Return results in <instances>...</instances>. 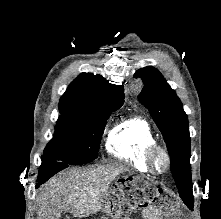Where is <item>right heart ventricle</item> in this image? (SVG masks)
Returning <instances> with one entry per match:
<instances>
[{
	"instance_id": "obj_1",
	"label": "right heart ventricle",
	"mask_w": 221,
	"mask_h": 219,
	"mask_svg": "<svg viewBox=\"0 0 221 219\" xmlns=\"http://www.w3.org/2000/svg\"><path fill=\"white\" fill-rule=\"evenodd\" d=\"M156 143V137L149 121L141 116L128 118L110 131L106 149L113 157L127 162L135 169L148 172L145 161L146 149Z\"/></svg>"
}]
</instances>
